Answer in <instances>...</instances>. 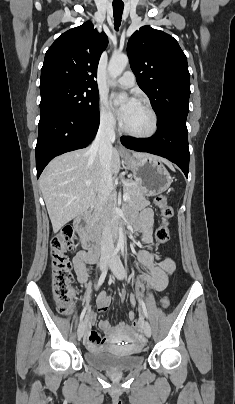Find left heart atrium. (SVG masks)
I'll return each mask as SVG.
<instances>
[{
    "label": "left heart atrium",
    "mask_w": 235,
    "mask_h": 404,
    "mask_svg": "<svg viewBox=\"0 0 235 404\" xmlns=\"http://www.w3.org/2000/svg\"><path fill=\"white\" fill-rule=\"evenodd\" d=\"M117 96L112 97V103L116 105ZM137 101L134 98L128 99L121 105H116V111L120 119L125 122L129 115L131 114L132 110L137 105Z\"/></svg>",
    "instance_id": "1"
}]
</instances>
